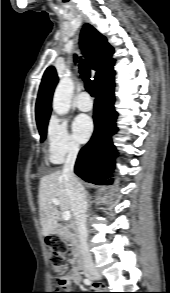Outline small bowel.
Returning <instances> with one entry per match:
<instances>
[{"instance_id":"c3829d8e","label":"small bowel","mask_w":170,"mask_h":293,"mask_svg":"<svg viewBox=\"0 0 170 293\" xmlns=\"http://www.w3.org/2000/svg\"><path fill=\"white\" fill-rule=\"evenodd\" d=\"M67 279L70 283L76 284L77 286H82V280L77 271H71L67 275Z\"/></svg>"}]
</instances>
